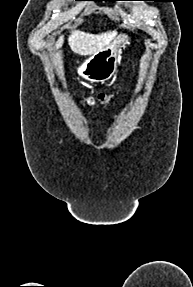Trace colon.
<instances>
[{"instance_id": "5ec220e1", "label": "colon", "mask_w": 193, "mask_h": 287, "mask_svg": "<svg viewBox=\"0 0 193 287\" xmlns=\"http://www.w3.org/2000/svg\"><path fill=\"white\" fill-rule=\"evenodd\" d=\"M110 94H107V93H100L99 95H97L96 97H90L89 99H88V101L90 102V103H93V102H95V101H98V102H100V103H106L107 101H109L110 100Z\"/></svg>"}]
</instances>
